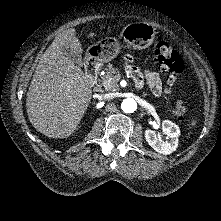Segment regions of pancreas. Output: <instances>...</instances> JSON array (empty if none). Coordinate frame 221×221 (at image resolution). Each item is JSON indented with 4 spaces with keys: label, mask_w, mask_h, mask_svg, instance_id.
<instances>
[{
    "label": "pancreas",
    "mask_w": 221,
    "mask_h": 221,
    "mask_svg": "<svg viewBox=\"0 0 221 221\" xmlns=\"http://www.w3.org/2000/svg\"><path fill=\"white\" fill-rule=\"evenodd\" d=\"M106 75L102 76V85L106 90H116L117 82L120 80L121 75L116 68H113L111 64L105 68ZM112 78L111 84H107V81Z\"/></svg>",
    "instance_id": "obj_1"
}]
</instances>
